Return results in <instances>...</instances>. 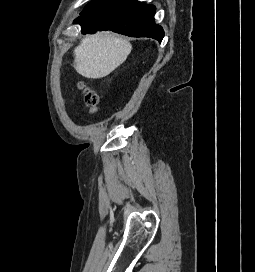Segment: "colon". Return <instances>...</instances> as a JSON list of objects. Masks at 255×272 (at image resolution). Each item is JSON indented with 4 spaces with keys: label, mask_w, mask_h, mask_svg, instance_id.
<instances>
[{
    "label": "colon",
    "mask_w": 255,
    "mask_h": 272,
    "mask_svg": "<svg viewBox=\"0 0 255 272\" xmlns=\"http://www.w3.org/2000/svg\"><path fill=\"white\" fill-rule=\"evenodd\" d=\"M81 89L83 91L85 104L90 108L91 111H96L99 101L96 92L89 89L85 85H81Z\"/></svg>",
    "instance_id": "1"
}]
</instances>
